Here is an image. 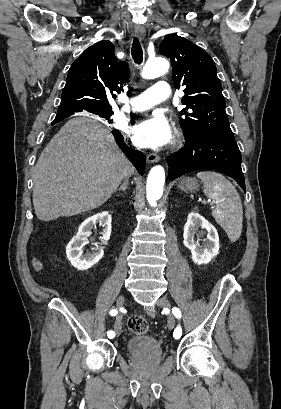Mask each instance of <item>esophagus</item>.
Segmentation results:
<instances>
[{
	"label": "esophagus",
	"instance_id": "34e87169",
	"mask_svg": "<svg viewBox=\"0 0 281 409\" xmlns=\"http://www.w3.org/2000/svg\"><path fill=\"white\" fill-rule=\"evenodd\" d=\"M135 35H136V37L144 38L145 32H143V31H135ZM159 159H160L159 155L154 154V153H151V154H149V155L147 156V161H148L149 163L158 162Z\"/></svg>",
	"mask_w": 281,
	"mask_h": 409
}]
</instances>
